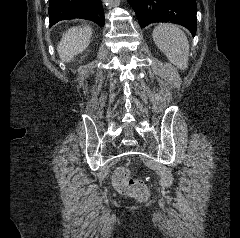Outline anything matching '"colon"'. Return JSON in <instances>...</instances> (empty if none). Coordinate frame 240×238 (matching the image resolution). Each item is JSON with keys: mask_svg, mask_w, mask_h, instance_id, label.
I'll use <instances>...</instances> for the list:
<instances>
[{"mask_svg": "<svg viewBox=\"0 0 240 238\" xmlns=\"http://www.w3.org/2000/svg\"><path fill=\"white\" fill-rule=\"evenodd\" d=\"M113 183L118 191L129 197L144 200L149 196L147 185L141 180L132 178L126 167H120L115 171Z\"/></svg>", "mask_w": 240, "mask_h": 238, "instance_id": "obj_1", "label": "colon"}]
</instances>
